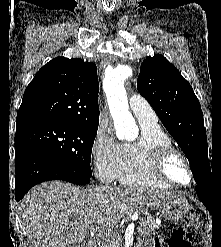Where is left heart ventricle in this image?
Segmentation results:
<instances>
[{
  "instance_id": "1",
  "label": "left heart ventricle",
  "mask_w": 221,
  "mask_h": 247,
  "mask_svg": "<svg viewBox=\"0 0 221 247\" xmlns=\"http://www.w3.org/2000/svg\"><path fill=\"white\" fill-rule=\"evenodd\" d=\"M168 174L180 183H187L189 180L187 170L181 160L173 158L167 165Z\"/></svg>"
}]
</instances>
